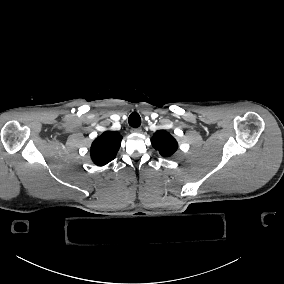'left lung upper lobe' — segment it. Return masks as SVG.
Here are the masks:
<instances>
[{"label":"left lung upper lobe","instance_id":"left-lung-upper-lobe-1","mask_svg":"<svg viewBox=\"0 0 284 284\" xmlns=\"http://www.w3.org/2000/svg\"><path fill=\"white\" fill-rule=\"evenodd\" d=\"M151 143L163 157L172 156L178 148L177 141L165 130L155 132Z\"/></svg>","mask_w":284,"mask_h":284}]
</instances>
